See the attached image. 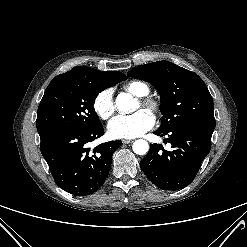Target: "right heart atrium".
<instances>
[{
	"label": "right heart atrium",
	"instance_id": "1",
	"mask_svg": "<svg viewBox=\"0 0 247 247\" xmlns=\"http://www.w3.org/2000/svg\"><path fill=\"white\" fill-rule=\"evenodd\" d=\"M93 110L101 120H109L115 112L113 90L105 88L99 91L93 100Z\"/></svg>",
	"mask_w": 247,
	"mask_h": 247
}]
</instances>
